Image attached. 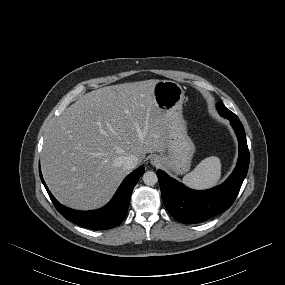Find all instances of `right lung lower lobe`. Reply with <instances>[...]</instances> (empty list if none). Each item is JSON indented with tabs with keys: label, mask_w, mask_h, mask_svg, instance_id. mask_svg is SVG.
<instances>
[{
	"label": "right lung lower lobe",
	"mask_w": 285,
	"mask_h": 285,
	"mask_svg": "<svg viewBox=\"0 0 285 285\" xmlns=\"http://www.w3.org/2000/svg\"><path fill=\"white\" fill-rule=\"evenodd\" d=\"M144 171L145 168L141 166L129 174L118 188L113 199L103 208L93 211H76L61 205L48 190L41 171L39 174L50 199L62 216L80 226L102 230L114 228L123 221L128 210L132 190Z\"/></svg>",
	"instance_id": "obj_1"
}]
</instances>
